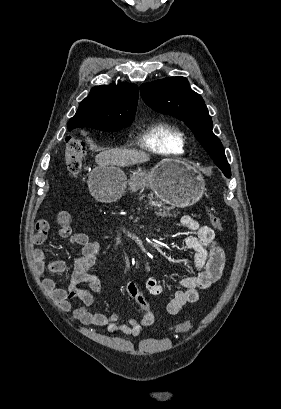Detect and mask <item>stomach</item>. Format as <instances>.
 Wrapping results in <instances>:
<instances>
[{
    "label": "stomach",
    "mask_w": 281,
    "mask_h": 409,
    "mask_svg": "<svg viewBox=\"0 0 281 409\" xmlns=\"http://www.w3.org/2000/svg\"><path fill=\"white\" fill-rule=\"evenodd\" d=\"M88 186L99 202H114L126 190L136 192L150 186L158 198L179 209L195 205L206 190L199 170L189 162L176 158L160 160L150 170L139 166L130 178L115 164L95 166L88 176Z\"/></svg>",
    "instance_id": "0dacf381"
}]
</instances>
